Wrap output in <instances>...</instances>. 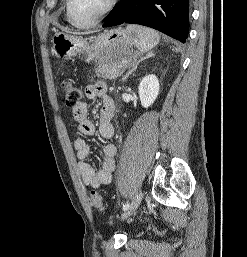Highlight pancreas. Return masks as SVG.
<instances>
[{
  "instance_id": "1",
  "label": "pancreas",
  "mask_w": 247,
  "mask_h": 257,
  "mask_svg": "<svg viewBox=\"0 0 247 257\" xmlns=\"http://www.w3.org/2000/svg\"><path fill=\"white\" fill-rule=\"evenodd\" d=\"M121 73V66L116 63H100L99 66L95 69V74L97 77L110 80L116 79L119 75H121Z\"/></svg>"
}]
</instances>
